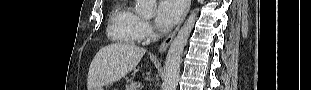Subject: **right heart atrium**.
Returning a JSON list of instances; mask_svg holds the SVG:
<instances>
[{
	"instance_id": "right-heart-atrium-1",
	"label": "right heart atrium",
	"mask_w": 311,
	"mask_h": 90,
	"mask_svg": "<svg viewBox=\"0 0 311 90\" xmlns=\"http://www.w3.org/2000/svg\"><path fill=\"white\" fill-rule=\"evenodd\" d=\"M137 31H138V34L140 36V39L147 38L152 32L150 22L147 19L138 16Z\"/></svg>"
}]
</instances>
